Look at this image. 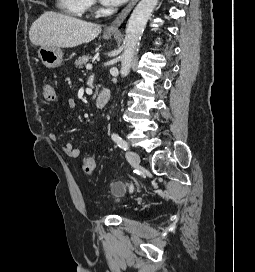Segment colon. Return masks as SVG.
<instances>
[{"mask_svg":"<svg viewBox=\"0 0 255 272\" xmlns=\"http://www.w3.org/2000/svg\"><path fill=\"white\" fill-rule=\"evenodd\" d=\"M42 95L47 101H54L56 99V93L54 87L49 83L45 82L42 86ZM82 168L85 174L92 175L95 170V162L92 156H85L82 162ZM115 191L117 193L122 192V185L117 184Z\"/></svg>","mask_w":255,"mask_h":272,"instance_id":"1","label":"colon"}]
</instances>
